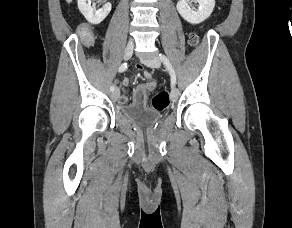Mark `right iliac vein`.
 <instances>
[{"label":"right iliac vein","instance_id":"obj_1","mask_svg":"<svg viewBox=\"0 0 292 228\" xmlns=\"http://www.w3.org/2000/svg\"><path fill=\"white\" fill-rule=\"evenodd\" d=\"M134 45L133 43H128L124 50V60H129L133 54ZM112 98L114 100H117L119 98V90L116 89L112 92Z\"/></svg>","mask_w":292,"mask_h":228}]
</instances>
